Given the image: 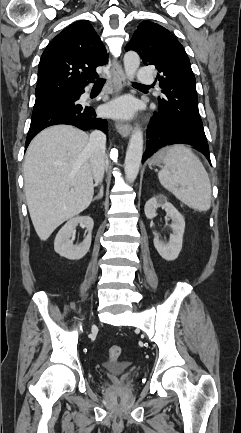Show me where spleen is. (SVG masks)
I'll return each instance as SVG.
<instances>
[{
	"instance_id": "spleen-1",
	"label": "spleen",
	"mask_w": 241,
	"mask_h": 433,
	"mask_svg": "<svg viewBox=\"0 0 241 433\" xmlns=\"http://www.w3.org/2000/svg\"><path fill=\"white\" fill-rule=\"evenodd\" d=\"M164 168L159 171L161 185L178 200L199 212L211 207V183L200 159L187 147L166 150Z\"/></svg>"
}]
</instances>
